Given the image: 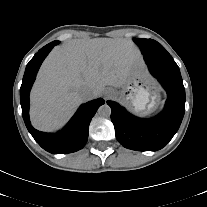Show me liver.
<instances>
[{
	"label": "liver",
	"instance_id": "1",
	"mask_svg": "<svg viewBox=\"0 0 207 207\" xmlns=\"http://www.w3.org/2000/svg\"><path fill=\"white\" fill-rule=\"evenodd\" d=\"M140 52L128 39H75L55 47L42 64L30 95V117L35 128L55 131L86 99L102 95L105 86L122 87Z\"/></svg>",
	"mask_w": 207,
	"mask_h": 207
}]
</instances>
